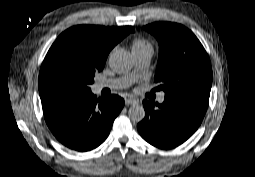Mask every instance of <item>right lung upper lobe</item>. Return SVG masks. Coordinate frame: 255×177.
Segmentation results:
<instances>
[{"mask_svg": "<svg viewBox=\"0 0 255 177\" xmlns=\"http://www.w3.org/2000/svg\"><path fill=\"white\" fill-rule=\"evenodd\" d=\"M132 29L131 26L79 25L64 31L55 43H70L77 49L90 53L95 61L105 63L111 49L132 32Z\"/></svg>", "mask_w": 255, "mask_h": 177, "instance_id": "1", "label": "right lung upper lobe"}]
</instances>
